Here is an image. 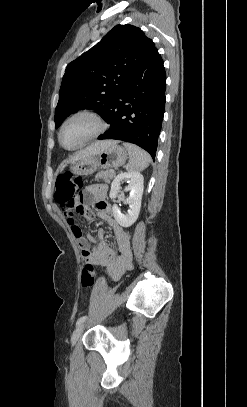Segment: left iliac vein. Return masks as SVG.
Here are the masks:
<instances>
[{"instance_id": "obj_1", "label": "left iliac vein", "mask_w": 247, "mask_h": 407, "mask_svg": "<svg viewBox=\"0 0 247 407\" xmlns=\"http://www.w3.org/2000/svg\"><path fill=\"white\" fill-rule=\"evenodd\" d=\"M84 330V323L80 324L77 326V328L74 330L72 336H71V343L72 345H75L79 338L81 337L82 333Z\"/></svg>"}]
</instances>
